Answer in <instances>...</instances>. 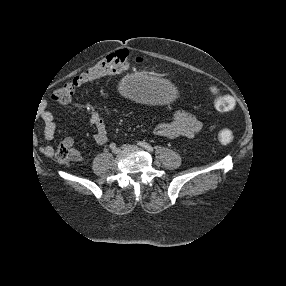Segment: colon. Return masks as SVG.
Returning <instances> with one entry per match:
<instances>
[{
  "label": "colon",
  "instance_id": "5ec220e1",
  "mask_svg": "<svg viewBox=\"0 0 286 286\" xmlns=\"http://www.w3.org/2000/svg\"><path fill=\"white\" fill-rule=\"evenodd\" d=\"M135 62L139 63L140 60L136 59ZM131 65L132 61L126 50H118L110 53L82 74L58 88L53 93L52 99L58 104H67L82 86L107 75L123 74L129 70ZM214 104L219 112H231L236 105L234 98L230 95L218 96ZM216 139L222 145H230L235 139V133L229 127H222L218 129ZM54 156L59 162H67L72 159V153L65 145H60L55 150Z\"/></svg>",
  "mask_w": 286,
  "mask_h": 286
}]
</instances>
